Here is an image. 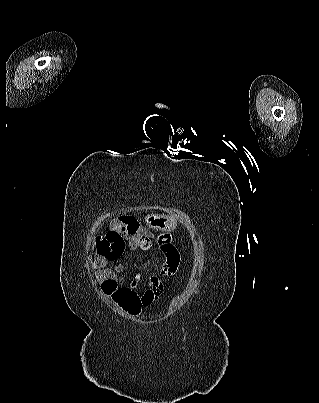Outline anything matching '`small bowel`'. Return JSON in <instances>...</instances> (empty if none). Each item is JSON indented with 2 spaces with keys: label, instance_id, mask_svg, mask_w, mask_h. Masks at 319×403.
I'll list each match as a JSON object with an SVG mask.
<instances>
[{
  "label": "small bowel",
  "instance_id": "1",
  "mask_svg": "<svg viewBox=\"0 0 319 403\" xmlns=\"http://www.w3.org/2000/svg\"><path fill=\"white\" fill-rule=\"evenodd\" d=\"M129 218L128 213H119L115 224H111L109 229L96 232V251L90 266L97 280L105 283L104 293L112 294L121 309L138 316L143 308L159 302L163 289L170 286L181 264V255L173 245L170 234L150 232ZM156 243L160 252L156 257L158 272L152 274L147 290L139 296L136 281L116 285L122 267L118 260L126 253L128 246L148 250Z\"/></svg>",
  "mask_w": 319,
  "mask_h": 403
}]
</instances>
